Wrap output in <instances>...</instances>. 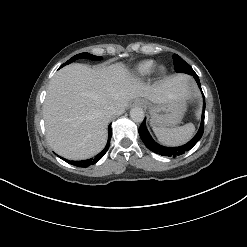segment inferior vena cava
<instances>
[{
	"label": "inferior vena cava",
	"mask_w": 247,
	"mask_h": 247,
	"mask_svg": "<svg viewBox=\"0 0 247 247\" xmlns=\"http://www.w3.org/2000/svg\"><path fill=\"white\" fill-rule=\"evenodd\" d=\"M117 113L116 109L114 108H107L105 111H104V114L106 117H112L113 115H115Z\"/></svg>",
	"instance_id": "1"
}]
</instances>
